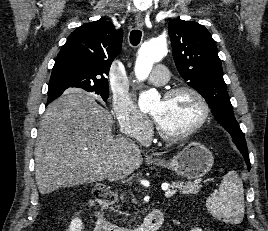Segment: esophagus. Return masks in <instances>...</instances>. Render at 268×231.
I'll list each match as a JSON object with an SVG mask.
<instances>
[{
  "instance_id": "esophagus-1",
  "label": "esophagus",
  "mask_w": 268,
  "mask_h": 231,
  "mask_svg": "<svg viewBox=\"0 0 268 231\" xmlns=\"http://www.w3.org/2000/svg\"><path fill=\"white\" fill-rule=\"evenodd\" d=\"M135 23L138 27H143L144 26V17L140 14L136 15Z\"/></svg>"
}]
</instances>
